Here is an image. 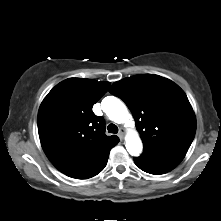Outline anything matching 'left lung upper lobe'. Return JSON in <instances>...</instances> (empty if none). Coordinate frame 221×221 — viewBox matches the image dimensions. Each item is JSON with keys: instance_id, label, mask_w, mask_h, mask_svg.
<instances>
[{"instance_id": "5c2ea615", "label": "left lung upper lobe", "mask_w": 221, "mask_h": 221, "mask_svg": "<svg viewBox=\"0 0 221 221\" xmlns=\"http://www.w3.org/2000/svg\"><path fill=\"white\" fill-rule=\"evenodd\" d=\"M109 91L131 110L143 152L188 151L195 136L196 119L178 85L158 75L140 74L113 83Z\"/></svg>"}]
</instances>
